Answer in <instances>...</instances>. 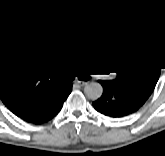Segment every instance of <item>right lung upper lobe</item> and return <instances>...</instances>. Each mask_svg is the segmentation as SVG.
<instances>
[{
	"label": "right lung upper lobe",
	"instance_id": "cb5924a9",
	"mask_svg": "<svg viewBox=\"0 0 165 156\" xmlns=\"http://www.w3.org/2000/svg\"><path fill=\"white\" fill-rule=\"evenodd\" d=\"M51 53L43 40H29L14 50L0 47V98L18 117H26L53 102L67 87L44 71Z\"/></svg>",
	"mask_w": 165,
	"mask_h": 156
}]
</instances>
